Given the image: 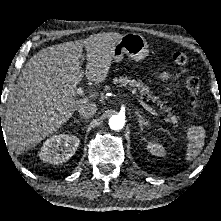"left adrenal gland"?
Returning a JSON list of instances; mask_svg holds the SVG:
<instances>
[{
	"mask_svg": "<svg viewBox=\"0 0 221 221\" xmlns=\"http://www.w3.org/2000/svg\"><path fill=\"white\" fill-rule=\"evenodd\" d=\"M135 113H136V115L138 117L139 127H140V130L142 132L143 131V127L145 125H147V122H145L144 118L140 115L139 111H136Z\"/></svg>",
	"mask_w": 221,
	"mask_h": 221,
	"instance_id": "a2214340",
	"label": "left adrenal gland"
}]
</instances>
